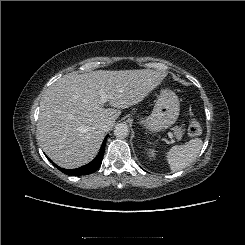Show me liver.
<instances>
[{
    "mask_svg": "<svg viewBox=\"0 0 245 245\" xmlns=\"http://www.w3.org/2000/svg\"><path fill=\"white\" fill-rule=\"evenodd\" d=\"M166 76L151 69L64 75L40 102L37 132L43 151L63 168L87 164L98 153L105 135L100 123L115 121L121 109L141 102ZM100 89L113 108L99 104Z\"/></svg>",
    "mask_w": 245,
    "mask_h": 245,
    "instance_id": "1",
    "label": "liver"
}]
</instances>
